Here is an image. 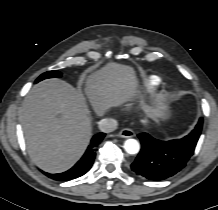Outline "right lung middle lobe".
I'll list each match as a JSON object with an SVG mask.
<instances>
[{"instance_id":"1","label":"right lung middle lobe","mask_w":218,"mask_h":210,"mask_svg":"<svg viewBox=\"0 0 218 210\" xmlns=\"http://www.w3.org/2000/svg\"><path fill=\"white\" fill-rule=\"evenodd\" d=\"M59 78L61 77V73L59 71L53 70V71H48L46 73H43L37 80L36 83L47 78Z\"/></svg>"}]
</instances>
